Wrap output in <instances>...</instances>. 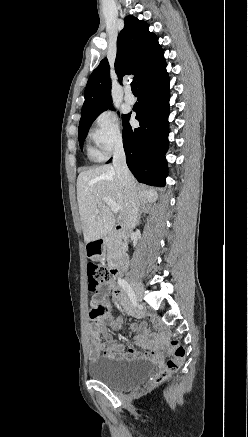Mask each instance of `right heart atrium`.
Masks as SVG:
<instances>
[{"instance_id": "right-heart-atrium-1", "label": "right heart atrium", "mask_w": 248, "mask_h": 437, "mask_svg": "<svg viewBox=\"0 0 248 437\" xmlns=\"http://www.w3.org/2000/svg\"><path fill=\"white\" fill-rule=\"evenodd\" d=\"M89 138L94 145V154L106 158L122 145L123 134L118 115L112 110L100 112L89 130Z\"/></svg>"}]
</instances>
